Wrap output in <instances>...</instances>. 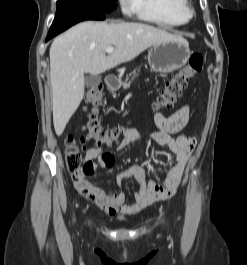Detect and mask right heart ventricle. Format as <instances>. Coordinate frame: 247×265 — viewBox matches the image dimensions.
Listing matches in <instances>:
<instances>
[{"mask_svg": "<svg viewBox=\"0 0 247 265\" xmlns=\"http://www.w3.org/2000/svg\"><path fill=\"white\" fill-rule=\"evenodd\" d=\"M188 11V0H136L134 12L144 21L177 27L189 21Z\"/></svg>", "mask_w": 247, "mask_h": 265, "instance_id": "e07e8e85", "label": "right heart ventricle"}]
</instances>
